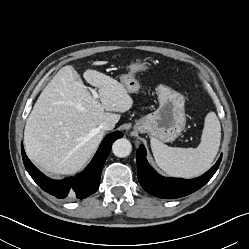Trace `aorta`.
<instances>
[{"label":"aorta","instance_id":"762f6f07","mask_svg":"<svg viewBox=\"0 0 249 249\" xmlns=\"http://www.w3.org/2000/svg\"><path fill=\"white\" fill-rule=\"evenodd\" d=\"M112 151L115 156L125 158L130 155L132 151V145L129 140L120 138L113 143Z\"/></svg>","mask_w":249,"mask_h":249}]
</instances>
